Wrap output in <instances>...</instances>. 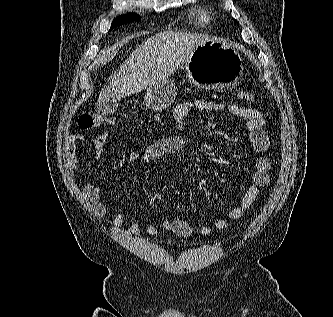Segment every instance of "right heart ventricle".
<instances>
[{
  "mask_svg": "<svg viewBox=\"0 0 333 317\" xmlns=\"http://www.w3.org/2000/svg\"><path fill=\"white\" fill-rule=\"evenodd\" d=\"M192 16L195 21L200 25H206L211 20V12L204 7H196L192 11Z\"/></svg>",
  "mask_w": 333,
  "mask_h": 317,
  "instance_id": "obj_1",
  "label": "right heart ventricle"
}]
</instances>
